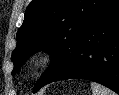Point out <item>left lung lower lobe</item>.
Wrapping results in <instances>:
<instances>
[{"instance_id":"0a47b994","label":"left lung lower lobe","mask_w":119,"mask_h":95,"mask_svg":"<svg viewBox=\"0 0 119 95\" xmlns=\"http://www.w3.org/2000/svg\"><path fill=\"white\" fill-rule=\"evenodd\" d=\"M73 78L97 82L119 94V0L85 32L69 68L46 84Z\"/></svg>"}]
</instances>
